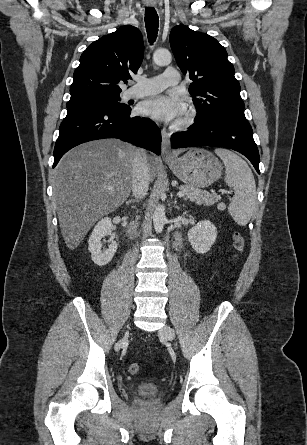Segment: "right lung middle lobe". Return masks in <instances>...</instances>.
Masks as SVG:
<instances>
[{"label":"right lung middle lobe","instance_id":"right-lung-middle-lobe-1","mask_svg":"<svg viewBox=\"0 0 307 445\" xmlns=\"http://www.w3.org/2000/svg\"><path fill=\"white\" fill-rule=\"evenodd\" d=\"M119 95H103V96H90L84 98L70 99L67 103V109L74 107L90 106V105H111L120 108H129L126 104L120 103Z\"/></svg>","mask_w":307,"mask_h":445}]
</instances>
